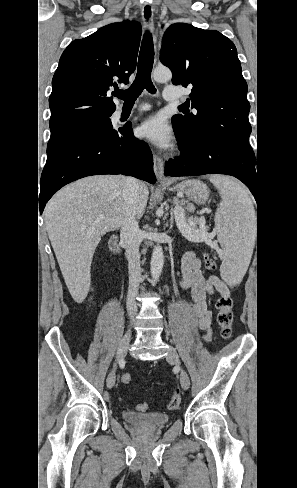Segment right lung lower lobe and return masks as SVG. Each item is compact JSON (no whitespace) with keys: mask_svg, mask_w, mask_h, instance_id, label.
I'll use <instances>...</instances> for the list:
<instances>
[{"mask_svg":"<svg viewBox=\"0 0 297 488\" xmlns=\"http://www.w3.org/2000/svg\"><path fill=\"white\" fill-rule=\"evenodd\" d=\"M149 146L133 136L131 127L90 132L60 144L47 154L39 183V211L64 185L100 174H124L155 183Z\"/></svg>","mask_w":297,"mask_h":488,"instance_id":"right-lung-lower-lobe-1","label":"right lung lower lobe"}]
</instances>
